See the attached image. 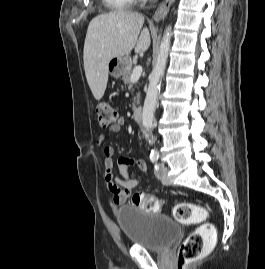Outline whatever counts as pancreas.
Wrapping results in <instances>:
<instances>
[{"mask_svg": "<svg viewBox=\"0 0 265 269\" xmlns=\"http://www.w3.org/2000/svg\"><path fill=\"white\" fill-rule=\"evenodd\" d=\"M131 75L132 74H131V69H130L129 72L123 78L124 84L128 85L129 89L132 88ZM139 102H140V94L138 93L133 100V108H136V105L139 104Z\"/></svg>", "mask_w": 265, "mask_h": 269, "instance_id": "1", "label": "pancreas"}]
</instances>
